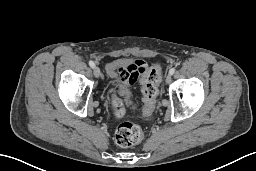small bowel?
<instances>
[{
  "label": "small bowel",
  "instance_id": "obj_1",
  "mask_svg": "<svg viewBox=\"0 0 256 171\" xmlns=\"http://www.w3.org/2000/svg\"><path fill=\"white\" fill-rule=\"evenodd\" d=\"M109 68L117 69L120 75V80L128 84L134 83L141 75L147 71V63L141 59H132L124 63H114ZM152 108L146 107L143 116H148Z\"/></svg>",
  "mask_w": 256,
  "mask_h": 171
}]
</instances>
